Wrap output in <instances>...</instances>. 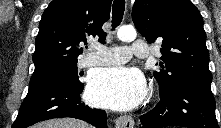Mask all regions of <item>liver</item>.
Segmentation results:
<instances>
[{"mask_svg":"<svg viewBox=\"0 0 221 128\" xmlns=\"http://www.w3.org/2000/svg\"><path fill=\"white\" fill-rule=\"evenodd\" d=\"M32 128H91V126L74 118H61L38 123Z\"/></svg>","mask_w":221,"mask_h":128,"instance_id":"1","label":"liver"}]
</instances>
